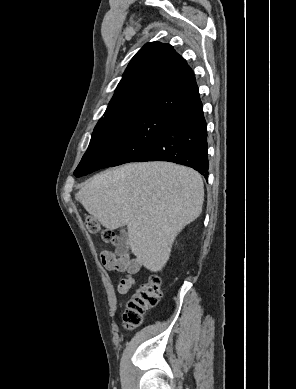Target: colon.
<instances>
[{
    "label": "colon",
    "instance_id": "colon-1",
    "mask_svg": "<svg viewBox=\"0 0 296 389\" xmlns=\"http://www.w3.org/2000/svg\"><path fill=\"white\" fill-rule=\"evenodd\" d=\"M86 226L90 233L99 234L106 243L117 245L120 241L115 231L105 228L92 217L86 219ZM109 264H113L112 258H107ZM162 296L161 280L158 276H152L142 282L130 295L123 313V322L127 329H133L140 325L144 314L157 305Z\"/></svg>",
    "mask_w": 296,
    "mask_h": 389
}]
</instances>
